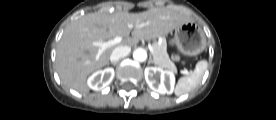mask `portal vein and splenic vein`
Wrapping results in <instances>:
<instances>
[{
  "label": "portal vein and splenic vein",
  "instance_id": "18ae733b",
  "mask_svg": "<svg viewBox=\"0 0 276 120\" xmlns=\"http://www.w3.org/2000/svg\"><path fill=\"white\" fill-rule=\"evenodd\" d=\"M122 41V37L117 36L114 39H111L109 41L106 42H93V45L97 46L100 48L99 52H98V56L107 48L115 46L117 44H119ZM149 50L151 53H153V47L151 45H149Z\"/></svg>",
  "mask_w": 276,
  "mask_h": 120
}]
</instances>
